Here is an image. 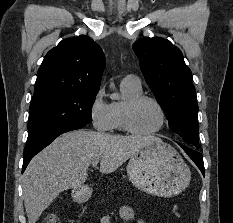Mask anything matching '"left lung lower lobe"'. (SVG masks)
I'll use <instances>...</instances> for the list:
<instances>
[{"label":"left lung lower lobe","mask_w":233,"mask_h":223,"mask_svg":"<svg viewBox=\"0 0 233 223\" xmlns=\"http://www.w3.org/2000/svg\"><path fill=\"white\" fill-rule=\"evenodd\" d=\"M179 145L189 155V157L195 162V164L198 166V168L202 172L203 176H205V169H204V163H203L202 155L199 152L194 151L192 149H189L184 145H181V144H179Z\"/></svg>","instance_id":"left-lung-lower-lobe-1"}]
</instances>
